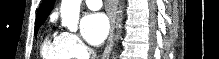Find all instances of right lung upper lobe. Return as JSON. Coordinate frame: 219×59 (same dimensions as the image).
Here are the masks:
<instances>
[{
  "label": "right lung upper lobe",
  "instance_id": "obj_1",
  "mask_svg": "<svg viewBox=\"0 0 219 59\" xmlns=\"http://www.w3.org/2000/svg\"><path fill=\"white\" fill-rule=\"evenodd\" d=\"M55 0H43L36 18V26L42 25L47 17L49 16L51 10L53 9Z\"/></svg>",
  "mask_w": 219,
  "mask_h": 59
}]
</instances>
